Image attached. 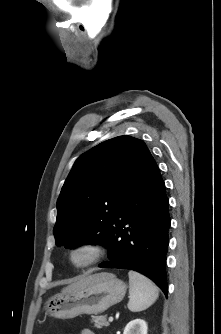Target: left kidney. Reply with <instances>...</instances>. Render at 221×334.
<instances>
[{
  "label": "left kidney",
  "instance_id": "obj_1",
  "mask_svg": "<svg viewBox=\"0 0 221 334\" xmlns=\"http://www.w3.org/2000/svg\"><path fill=\"white\" fill-rule=\"evenodd\" d=\"M147 323L143 319H134L130 321L123 334H147Z\"/></svg>",
  "mask_w": 221,
  "mask_h": 334
}]
</instances>
